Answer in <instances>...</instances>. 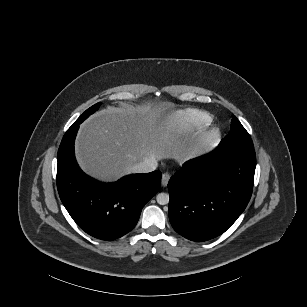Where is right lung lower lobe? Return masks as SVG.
Here are the masks:
<instances>
[{
  "label": "right lung lower lobe",
  "instance_id": "98d812e1",
  "mask_svg": "<svg viewBox=\"0 0 307 307\" xmlns=\"http://www.w3.org/2000/svg\"><path fill=\"white\" fill-rule=\"evenodd\" d=\"M83 121L76 120L58 150L57 188L73 220L89 235L114 240L131 231L143 206L159 191L161 172L133 174L114 183H101L78 166L74 141Z\"/></svg>",
  "mask_w": 307,
  "mask_h": 307
}]
</instances>
